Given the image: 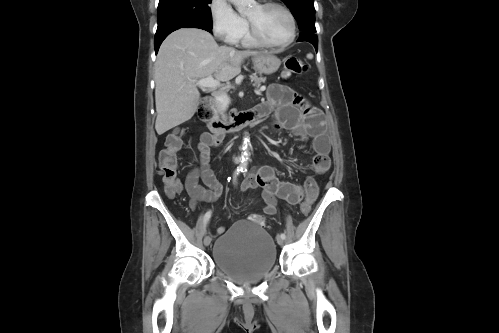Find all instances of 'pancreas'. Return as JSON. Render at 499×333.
Here are the masks:
<instances>
[{
	"instance_id": "1",
	"label": "pancreas",
	"mask_w": 499,
	"mask_h": 333,
	"mask_svg": "<svg viewBox=\"0 0 499 333\" xmlns=\"http://www.w3.org/2000/svg\"><path fill=\"white\" fill-rule=\"evenodd\" d=\"M250 78L254 81V84H253V85H254L256 88H260L261 83H264V82L266 81V78H265V77H262V76H259V77H258V76H257V75H255V74L250 75Z\"/></svg>"
}]
</instances>
